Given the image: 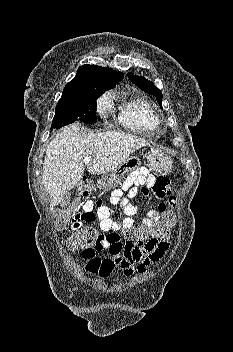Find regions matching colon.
Returning <instances> with one entry per match:
<instances>
[{
  "instance_id": "obj_1",
  "label": "colon",
  "mask_w": 233,
  "mask_h": 352,
  "mask_svg": "<svg viewBox=\"0 0 233 352\" xmlns=\"http://www.w3.org/2000/svg\"><path fill=\"white\" fill-rule=\"evenodd\" d=\"M176 200L171 198L168 207L162 208L161 218L151 227L123 230V236L126 243L137 246H154L166 242L171 229L176 224V215L174 209ZM68 221L66 214H61L57 220V227L62 229ZM104 239L92 226H84L75 231L67 240L66 246L72 250H85L98 246Z\"/></svg>"
}]
</instances>
